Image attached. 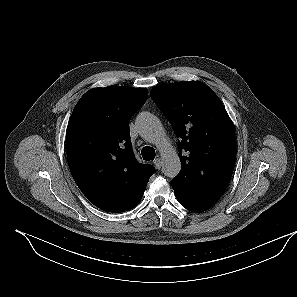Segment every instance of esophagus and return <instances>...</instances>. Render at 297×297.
Instances as JSON below:
<instances>
[{
  "instance_id": "esophagus-1",
  "label": "esophagus",
  "mask_w": 297,
  "mask_h": 297,
  "mask_svg": "<svg viewBox=\"0 0 297 297\" xmlns=\"http://www.w3.org/2000/svg\"><path fill=\"white\" fill-rule=\"evenodd\" d=\"M153 163H154V165H155V167H156L157 169H160V168L162 167V160H161V158H156V159L153 161Z\"/></svg>"
}]
</instances>
